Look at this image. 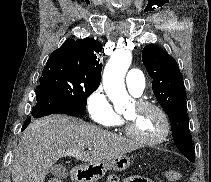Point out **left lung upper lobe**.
<instances>
[{"instance_id": "left-lung-upper-lobe-1", "label": "left lung upper lobe", "mask_w": 211, "mask_h": 182, "mask_svg": "<svg viewBox=\"0 0 211 182\" xmlns=\"http://www.w3.org/2000/svg\"><path fill=\"white\" fill-rule=\"evenodd\" d=\"M142 60L148 74L153 78L154 95L171 121L175 145L190 161L195 162L183 76L177 62L156 45L143 48Z\"/></svg>"}]
</instances>
